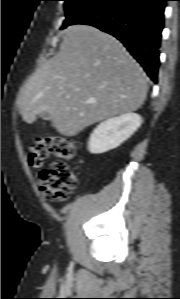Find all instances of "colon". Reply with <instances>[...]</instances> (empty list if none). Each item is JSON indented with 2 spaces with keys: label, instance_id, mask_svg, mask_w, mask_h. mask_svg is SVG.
I'll return each mask as SVG.
<instances>
[{
  "label": "colon",
  "instance_id": "1",
  "mask_svg": "<svg viewBox=\"0 0 180 299\" xmlns=\"http://www.w3.org/2000/svg\"><path fill=\"white\" fill-rule=\"evenodd\" d=\"M51 154L59 160L42 171L41 192L46 200L59 202L65 200L78 184V177L68 163L75 156L74 141L59 134L41 137L29 150L28 164L31 167H40Z\"/></svg>",
  "mask_w": 180,
  "mask_h": 299
}]
</instances>
